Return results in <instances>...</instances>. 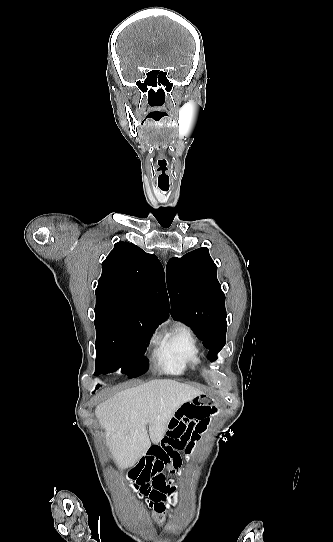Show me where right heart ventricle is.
Instances as JSON below:
<instances>
[{
    "mask_svg": "<svg viewBox=\"0 0 333 542\" xmlns=\"http://www.w3.org/2000/svg\"><path fill=\"white\" fill-rule=\"evenodd\" d=\"M155 354L164 369L174 374H182L201 365L196 339L186 327H178L167 333L159 342Z\"/></svg>",
    "mask_w": 333,
    "mask_h": 542,
    "instance_id": "1",
    "label": "right heart ventricle"
}]
</instances>
